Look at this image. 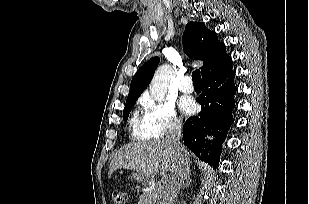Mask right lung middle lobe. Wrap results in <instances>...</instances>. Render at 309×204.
Here are the masks:
<instances>
[{"label":"right lung middle lobe","instance_id":"right-lung-middle-lobe-1","mask_svg":"<svg viewBox=\"0 0 309 204\" xmlns=\"http://www.w3.org/2000/svg\"><path fill=\"white\" fill-rule=\"evenodd\" d=\"M137 99H130L126 101V105L123 111V119L127 121L130 111L132 110Z\"/></svg>","mask_w":309,"mask_h":204}]
</instances>
